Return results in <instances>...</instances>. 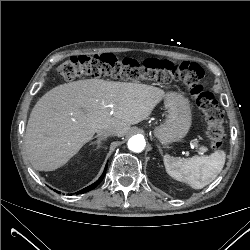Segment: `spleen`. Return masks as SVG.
Listing matches in <instances>:
<instances>
[{
	"instance_id": "obj_1",
	"label": "spleen",
	"mask_w": 250,
	"mask_h": 250,
	"mask_svg": "<svg viewBox=\"0 0 250 250\" xmlns=\"http://www.w3.org/2000/svg\"><path fill=\"white\" fill-rule=\"evenodd\" d=\"M226 154L215 151L207 157L176 158L164 156L167 173L174 179L188 183L194 189H201L211 183L222 171Z\"/></svg>"
}]
</instances>
